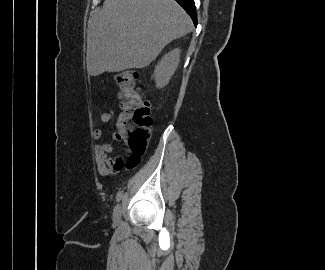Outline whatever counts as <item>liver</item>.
I'll return each instance as SVG.
<instances>
[{
	"label": "liver",
	"mask_w": 325,
	"mask_h": 270,
	"mask_svg": "<svg viewBox=\"0 0 325 270\" xmlns=\"http://www.w3.org/2000/svg\"><path fill=\"white\" fill-rule=\"evenodd\" d=\"M191 30L190 17L174 0H105L88 22V74L144 68Z\"/></svg>",
	"instance_id": "6515ba94"
}]
</instances>
